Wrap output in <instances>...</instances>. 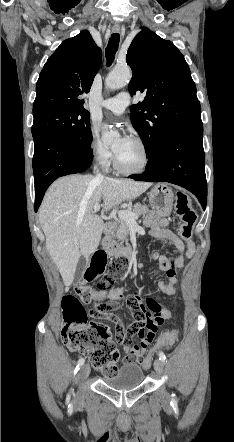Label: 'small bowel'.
I'll list each match as a JSON object with an SVG mask.
<instances>
[{"label": "small bowel", "instance_id": "small-bowel-1", "mask_svg": "<svg viewBox=\"0 0 234 442\" xmlns=\"http://www.w3.org/2000/svg\"><path fill=\"white\" fill-rule=\"evenodd\" d=\"M144 224L151 227L152 236L170 241L178 251V255L174 257H157L159 268L168 277L167 281H160L158 283V289L164 294L173 295L176 293V273L183 268L186 260L192 257L195 250L194 243L191 240L182 241L174 232L166 228L168 220L159 217L155 212H151L146 216ZM118 290L123 292L122 289ZM111 309L110 304H106L102 308V314H91L86 322L87 327L93 328L94 331L110 333L111 327L108 321L112 322L115 320L114 315L110 313ZM171 317L172 313L170 310L163 308L162 314H134L130 323L120 324L115 322L112 334H116L114 338L115 343L120 344V347L126 352L125 361L128 362L126 364L128 369L136 370L139 368V364H143L144 359L148 356H144L147 346L155 338L158 328H163L166 319ZM116 320H119V317H116ZM134 339H139V343L132 346L131 342Z\"/></svg>", "mask_w": 234, "mask_h": 442}]
</instances>
